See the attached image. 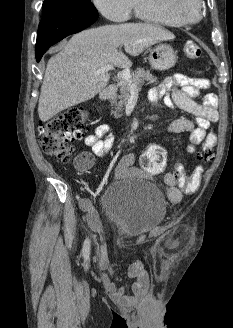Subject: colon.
I'll return each instance as SVG.
<instances>
[{"label":"colon","instance_id":"obj_1","mask_svg":"<svg viewBox=\"0 0 233 328\" xmlns=\"http://www.w3.org/2000/svg\"><path fill=\"white\" fill-rule=\"evenodd\" d=\"M184 53L188 58L195 59L200 56L201 50L196 42L188 41L184 46ZM88 117L87 110L72 108L41 124L38 138L44 153L63 162L74 161L78 166L85 165L90 159L89 155L76 153L71 142L84 135ZM215 143V135L208 134L198 154V159L203 165L213 161ZM165 165L164 149L155 144L147 146L141 156L143 170L148 174H157L164 169ZM202 173V165L196 166L190 175L187 174L183 165L176 164L174 167V175L178 180L179 188L185 194H192L199 189Z\"/></svg>","mask_w":233,"mask_h":328}]
</instances>
